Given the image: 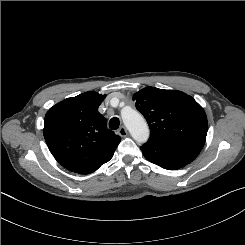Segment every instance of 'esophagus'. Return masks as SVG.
Returning a JSON list of instances; mask_svg holds the SVG:
<instances>
[{"label":"esophagus","mask_w":245,"mask_h":245,"mask_svg":"<svg viewBox=\"0 0 245 245\" xmlns=\"http://www.w3.org/2000/svg\"><path fill=\"white\" fill-rule=\"evenodd\" d=\"M118 134L121 136V137H126L128 135V131L126 129L125 126H121L118 130Z\"/></svg>","instance_id":"34e87169"}]
</instances>
